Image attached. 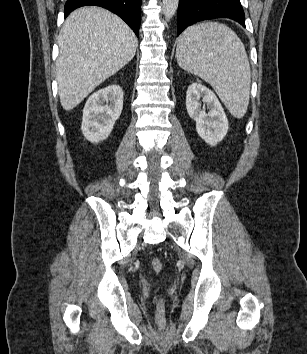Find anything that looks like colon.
Segmentation results:
<instances>
[{
	"mask_svg": "<svg viewBox=\"0 0 307 354\" xmlns=\"http://www.w3.org/2000/svg\"><path fill=\"white\" fill-rule=\"evenodd\" d=\"M151 266L154 272L159 273L163 268V263L159 258H153L151 261ZM163 316V304L159 302L158 304V317L161 319Z\"/></svg>",
	"mask_w": 307,
	"mask_h": 354,
	"instance_id": "obj_1",
	"label": "colon"
}]
</instances>
